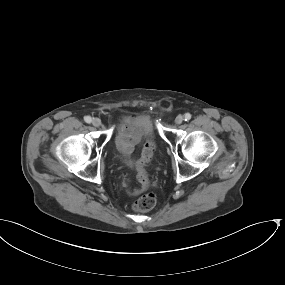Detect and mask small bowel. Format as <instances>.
<instances>
[{"label": "small bowel", "mask_w": 285, "mask_h": 285, "mask_svg": "<svg viewBox=\"0 0 285 285\" xmlns=\"http://www.w3.org/2000/svg\"><path fill=\"white\" fill-rule=\"evenodd\" d=\"M131 120H132L131 118H124V122L120 126L119 131H118V133H119V143L122 146L124 153H127L129 151V149H130V146H131L130 135L127 132V127H128V125H129ZM141 192H142V190L135 189L132 192V195L136 196V195H139Z\"/></svg>", "instance_id": "c3829d8e"}]
</instances>
